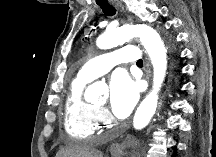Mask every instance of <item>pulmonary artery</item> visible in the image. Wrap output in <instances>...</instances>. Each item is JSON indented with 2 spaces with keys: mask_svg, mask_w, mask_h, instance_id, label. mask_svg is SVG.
<instances>
[{
  "mask_svg": "<svg viewBox=\"0 0 216 157\" xmlns=\"http://www.w3.org/2000/svg\"><path fill=\"white\" fill-rule=\"evenodd\" d=\"M141 58L138 49L133 45L124 46L110 53H105L88 60L81 66L78 76L84 80H92L109 72L118 64L137 61Z\"/></svg>",
  "mask_w": 216,
  "mask_h": 157,
  "instance_id": "obj_1",
  "label": "pulmonary artery"
}]
</instances>
